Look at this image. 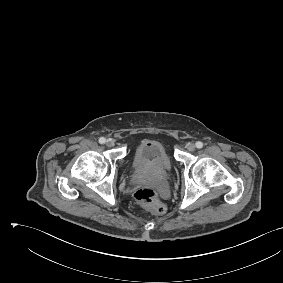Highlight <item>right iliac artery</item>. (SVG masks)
<instances>
[{
	"mask_svg": "<svg viewBox=\"0 0 283 283\" xmlns=\"http://www.w3.org/2000/svg\"><path fill=\"white\" fill-rule=\"evenodd\" d=\"M106 142V139L104 137L99 138V143L104 144Z\"/></svg>",
	"mask_w": 283,
	"mask_h": 283,
	"instance_id": "obj_1",
	"label": "right iliac artery"
}]
</instances>
